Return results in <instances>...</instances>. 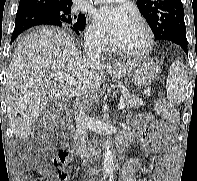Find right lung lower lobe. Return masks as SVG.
<instances>
[{
  "label": "right lung lower lobe",
  "mask_w": 197,
  "mask_h": 181,
  "mask_svg": "<svg viewBox=\"0 0 197 181\" xmlns=\"http://www.w3.org/2000/svg\"><path fill=\"white\" fill-rule=\"evenodd\" d=\"M39 25L68 26L78 35L82 32V30L75 29L72 26L64 25L57 17L41 7L19 4L11 42H13L23 31Z\"/></svg>",
  "instance_id": "right-lung-lower-lobe-1"
}]
</instances>
